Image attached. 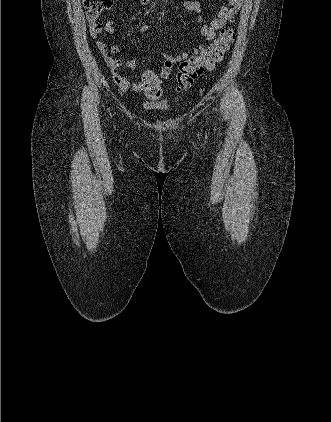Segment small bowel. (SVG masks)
Wrapping results in <instances>:
<instances>
[{
  "label": "small bowel",
  "instance_id": "small-bowel-1",
  "mask_svg": "<svg viewBox=\"0 0 331 422\" xmlns=\"http://www.w3.org/2000/svg\"><path fill=\"white\" fill-rule=\"evenodd\" d=\"M141 5H149L152 0H138ZM243 0H228L226 5H223L217 12V16L208 24H203V15L201 5L196 0H183L184 8L190 12L198 24V31L202 37V40L207 42L212 40L216 36V32L224 27V25L232 19L236 12L241 8ZM90 35L93 38H97L102 31L113 34L115 32L114 24L111 20L107 21L103 26L96 21L89 22ZM148 25H143L139 29V33H145L149 31ZM96 46L102 55L106 65L108 66L114 82L123 91L142 92L143 85L140 82H130L122 73V68L127 67L130 70L136 69V63L132 59L127 58H114L112 55L117 53L120 49V44H114L111 47L103 42L102 40L96 41ZM205 50V46L200 43L192 49L189 53H182L180 55H171L168 53L163 54V68L160 73V77L167 79L170 75L173 67L180 64L184 60L192 57H198Z\"/></svg>",
  "mask_w": 331,
  "mask_h": 422
}]
</instances>
